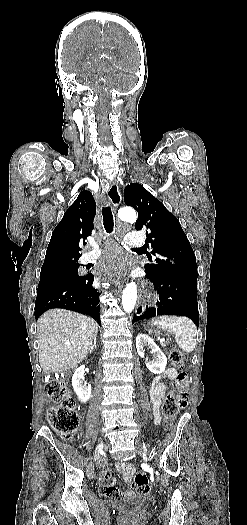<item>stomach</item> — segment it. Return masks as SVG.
I'll use <instances>...</instances> for the list:
<instances>
[{
  "instance_id": "1",
  "label": "stomach",
  "mask_w": 247,
  "mask_h": 525,
  "mask_svg": "<svg viewBox=\"0 0 247 525\" xmlns=\"http://www.w3.org/2000/svg\"><path fill=\"white\" fill-rule=\"evenodd\" d=\"M145 329L151 331V332H154L156 336L158 335H169V334H172V332H170L167 328H164L162 326H158V325H154V324H145L144 325Z\"/></svg>"
}]
</instances>
